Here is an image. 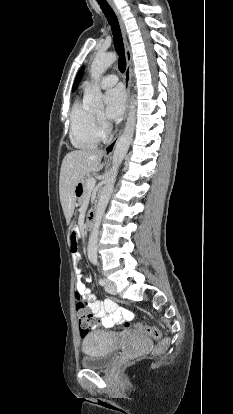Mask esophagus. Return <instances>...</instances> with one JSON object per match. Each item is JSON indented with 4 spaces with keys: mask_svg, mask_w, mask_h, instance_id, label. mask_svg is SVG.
<instances>
[{
    "mask_svg": "<svg viewBox=\"0 0 233 414\" xmlns=\"http://www.w3.org/2000/svg\"><path fill=\"white\" fill-rule=\"evenodd\" d=\"M114 13L116 14V17L119 21L120 24V28H121V32H122V36H123V42H124V51H125V56H126V70H125V75H124V85H125V90H126V114H125V118L128 115V108H129V99H130V84H131V62H132V52L130 49V46L128 44L127 41V37H126V31H125V26H124V22L121 16L120 11L117 9V7L115 6V4L113 3L112 0H108ZM123 128H121V130L119 131V133L115 136V138L105 147L104 149V154L105 155H112L117 142L120 138V135L122 133Z\"/></svg>",
    "mask_w": 233,
    "mask_h": 414,
    "instance_id": "1",
    "label": "esophagus"
}]
</instances>
